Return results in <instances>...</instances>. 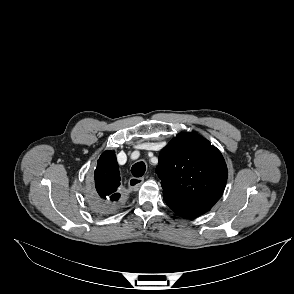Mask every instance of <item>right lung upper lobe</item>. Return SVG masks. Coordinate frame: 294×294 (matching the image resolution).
I'll return each instance as SVG.
<instances>
[{"instance_id":"1","label":"right lung upper lobe","mask_w":294,"mask_h":294,"mask_svg":"<svg viewBox=\"0 0 294 294\" xmlns=\"http://www.w3.org/2000/svg\"><path fill=\"white\" fill-rule=\"evenodd\" d=\"M120 173L114 151H105L97 161L95 170V188L97 195L111 211L116 207L120 198ZM108 211V212H111Z\"/></svg>"}]
</instances>
